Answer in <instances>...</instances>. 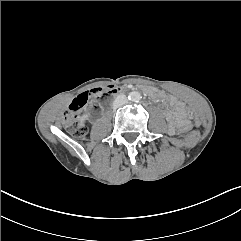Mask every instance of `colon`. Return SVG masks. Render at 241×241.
Returning a JSON list of instances; mask_svg holds the SVG:
<instances>
[{"label": "colon", "instance_id": "obj_1", "mask_svg": "<svg viewBox=\"0 0 241 241\" xmlns=\"http://www.w3.org/2000/svg\"><path fill=\"white\" fill-rule=\"evenodd\" d=\"M100 93V89H93L91 91L84 92L80 94L71 104L69 110H67L64 114V122L68 127L70 133L74 137H81L85 134V127L80 124L77 120V115L75 112L83 107L90 99L95 98ZM193 124L184 125L182 129L180 127H175L173 129V134L175 136H180L182 133L189 134L194 130Z\"/></svg>", "mask_w": 241, "mask_h": 241}]
</instances>
